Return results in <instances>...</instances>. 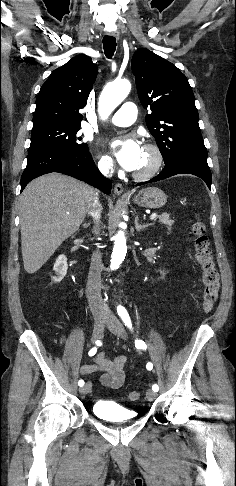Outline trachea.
<instances>
[{"label": "trachea", "instance_id": "obj_1", "mask_svg": "<svg viewBox=\"0 0 236 486\" xmlns=\"http://www.w3.org/2000/svg\"><path fill=\"white\" fill-rule=\"evenodd\" d=\"M116 39L113 36H104L103 38V49L106 57L111 59L116 50Z\"/></svg>", "mask_w": 236, "mask_h": 486}]
</instances>
